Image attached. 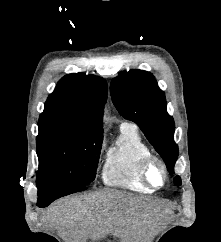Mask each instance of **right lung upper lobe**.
I'll list each match as a JSON object with an SVG mask.
<instances>
[{
	"label": "right lung upper lobe",
	"mask_w": 221,
	"mask_h": 242,
	"mask_svg": "<svg viewBox=\"0 0 221 242\" xmlns=\"http://www.w3.org/2000/svg\"><path fill=\"white\" fill-rule=\"evenodd\" d=\"M107 89L105 80L94 75L64 76L48 97L38 127H67L103 136L102 113Z\"/></svg>",
	"instance_id": "cb5924a9"
}]
</instances>
